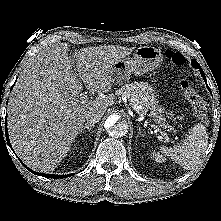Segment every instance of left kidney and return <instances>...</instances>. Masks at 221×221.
<instances>
[{"label":"left kidney","instance_id":"left-kidney-1","mask_svg":"<svg viewBox=\"0 0 221 221\" xmlns=\"http://www.w3.org/2000/svg\"><path fill=\"white\" fill-rule=\"evenodd\" d=\"M151 158H153L157 163H162L165 161V158L159 153H151Z\"/></svg>","mask_w":221,"mask_h":221}]
</instances>
